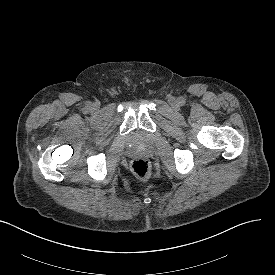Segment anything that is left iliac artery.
Wrapping results in <instances>:
<instances>
[{"label":"left iliac artery","instance_id":"44dca946","mask_svg":"<svg viewBox=\"0 0 275 275\" xmlns=\"http://www.w3.org/2000/svg\"><path fill=\"white\" fill-rule=\"evenodd\" d=\"M179 104L184 105L185 104V99L184 98H179Z\"/></svg>","mask_w":275,"mask_h":275}]
</instances>
